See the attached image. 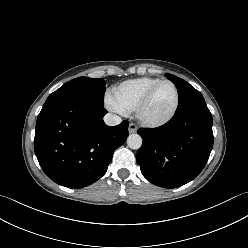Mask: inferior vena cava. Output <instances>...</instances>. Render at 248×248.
I'll return each mask as SVG.
<instances>
[{"label": "inferior vena cava", "instance_id": "602c4592", "mask_svg": "<svg viewBox=\"0 0 248 248\" xmlns=\"http://www.w3.org/2000/svg\"><path fill=\"white\" fill-rule=\"evenodd\" d=\"M122 121L121 117H119L118 115L112 114V113H107L104 116V122L105 124L109 125V126H115L120 124Z\"/></svg>", "mask_w": 248, "mask_h": 248}]
</instances>
